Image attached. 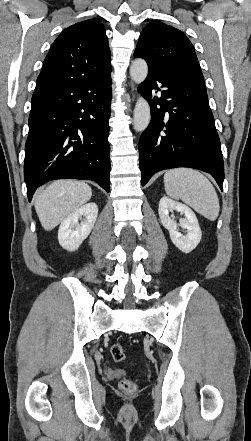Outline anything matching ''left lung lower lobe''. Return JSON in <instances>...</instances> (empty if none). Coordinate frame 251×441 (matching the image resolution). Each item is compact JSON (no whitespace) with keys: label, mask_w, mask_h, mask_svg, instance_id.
<instances>
[{"label":"left lung lower lobe","mask_w":251,"mask_h":441,"mask_svg":"<svg viewBox=\"0 0 251 441\" xmlns=\"http://www.w3.org/2000/svg\"><path fill=\"white\" fill-rule=\"evenodd\" d=\"M139 92L151 106V122L139 142L142 186L158 171L190 167L210 173L222 190L221 144L204 81L148 70Z\"/></svg>","instance_id":"left-lung-lower-lobe-1"}]
</instances>
